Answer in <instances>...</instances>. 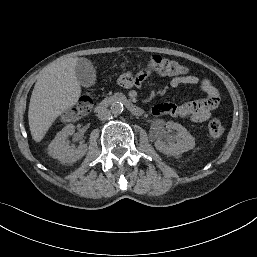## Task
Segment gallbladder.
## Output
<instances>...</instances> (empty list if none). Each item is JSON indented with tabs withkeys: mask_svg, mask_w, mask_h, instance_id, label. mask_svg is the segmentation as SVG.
Here are the masks:
<instances>
[{
	"mask_svg": "<svg viewBox=\"0 0 257 257\" xmlns=\"http://www.w3.org/2000/svg\"><path fill=\"white\" fill-rule=\"evenodd\" d=\"M76 78L83 87H90L96 82V71L92 62L86 58H80L75 68Z\"/></svg>",
	"mask_w": 257,
	"mask_h": 257,
	"instance_id": "gallbladder-1",
	"label": "gallbladder"
}]
</instances>
